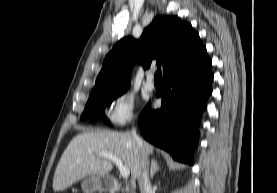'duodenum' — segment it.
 Returning <instances> with one entry per match:
<instances>
[{"label": "duodenum", "mask_w": 277, "mask_h": 193, "mask_svg": "<svg viewBox=\"0 0 277 193\" xmlns=\"http://www.w3.org/2000/svg\"><path fill=\"white\" fill-rule=\"evenodd\" d=\"M103 188L109 191L110 193H116L119 191L120 186L116 180L108 179L104 181Z\"/></svg>", "instance_id": "obj_1"}]
</instances>
